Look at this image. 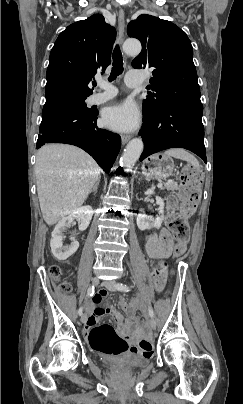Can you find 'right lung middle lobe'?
<instances>
[{
  "mask_svg": "<svg viewBox=\"0 0 243 404\" xmlns=\"http://www.w3.org/2000/svg\"><path fill=\"white\" fill-rule=\"evenodd\" d=\"M87 97L66 98L47 103L43 107L42 119H45L58 112L69 109H80L87 112H94V110L87 108L85 99Z\"/></svg>",
  "mask_w": 243,
  "mask_h": 404,
  "instance_id": "right-lung-middle-lobe-1",
  "label": "right lung middle lobe"
}]
</instances>
